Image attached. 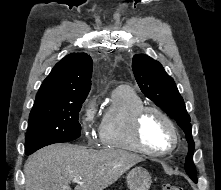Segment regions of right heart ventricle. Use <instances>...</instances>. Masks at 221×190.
I'll return each mask as SVG.
<instances>
[{"instance_id":"e07e8e85","label":"right heart ventricle","mask_w":221,"mask_h":190,"mask_svg":"<svg viewBox=\"0 0 221 190\" xmlns=\"http://www.w3.org/2000/svg\"><path fill=\"white\" fill-rule=\"evenodd\" d=\"M144 106L140 95L130 86L120 85L111 93L99 125L101 146L108 149L143 153L132 137V119Z\"/></svg>"}]
</instances>
